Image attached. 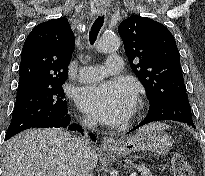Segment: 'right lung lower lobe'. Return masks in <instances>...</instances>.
Here are the masks:
<instances>
[{"instance_id":"right-lung-lower-lobe-1","label":"right lung lower lobe","mask_w":205,"mask_h":176,"mask_svg":"<svg viewBox=\"0 0 205 176\" xmlns=\"http://www.w3.org/2000/svg\"><path fill=\"white\" fill-rule=\"evenodd\" d=\"M70 115L67 114L65 115L64 117L60 118V119H52V120H47V121H44V122H41L37 125H35L34 127L32 128H35V127H55V128H59V127H67L68 126V129L72 130V131H75V130H78L79 132H82V128L80 125H77V124H70ZM90 137L92 140H96V137L94 134L90 133Z\"/></svg>"}]
</instances>
